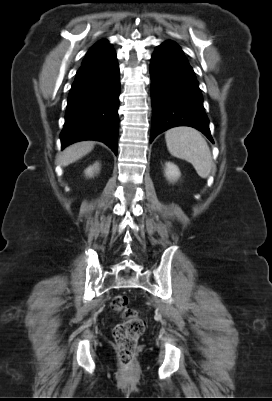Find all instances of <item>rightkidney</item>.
I'll use <instances>...</instances> for the list:
<instances>
[{
  "label": "right kidney",
  "mask_w": 272,
  "mask_h": 401,
  "mask_svg": "<svg viewBox=\"0 0 272 401\" xmlns=\"http://www.w3.org/2000/svg\"><path fill=\"white\" fill-rule=\"evenodd\" d=\"M98 169H99L98 164H95L94 166L87 168L85 170V174H86V176L91 177V176H93L94 172Z\"/></svg>",
  "instance_id": "1"
}]
</instances>
